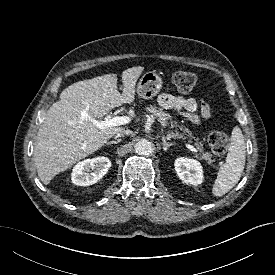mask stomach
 Masks as SVG:
<instances>
[{"label":"stomach","mask_w":275,"mask_h":275,"mask_svg":"<svg viewBox=\"0 0 275 275\" xmlns=\"http://www.w3.org/2000/svg\"><path fill=\"white\" fill-rule=\"evenodd\" d=\"M162 87L161 77L153 71H148L140 78L137 85V94L143 99H152Z\"/></svg>","instance_id":"0dacf381"}]
</instances>
